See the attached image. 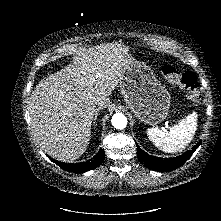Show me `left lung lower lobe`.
<instances>
[{"label": "left lung lower lobe", "instance_id": "0a47b994", "mask_svg": "<svg viewBox=\"0 0 221 221\" xmlns=\"http://www.w3.org/2000/svg\"><path fill=\"white\" fill-rule=\"evenodd\" d=\"M201 142H198L191 150L187 151L183 155L174 158H159L155 156H151L144 152L137 145V155L138 159L141 163H143L147 168L157 171H168L173 170L181 165H183L194 153V151L198 148Z\"/></svg>", "mask_w": 221, "mask_h": 221}]
</instances>
